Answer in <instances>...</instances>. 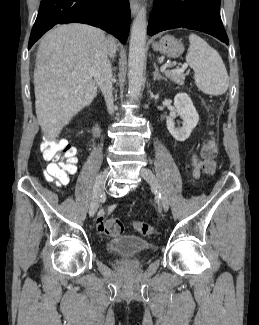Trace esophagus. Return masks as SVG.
I'll use <instances>...</instances> for the list:
<instances>
[{"label":"esophagus","mask_w":259,"mask_h":325,"mask_svg":"<svg viewBox=\"0 0 259 325\" xmlns=\"http://www.w3.org/2000/svg\"><path fill=\"white\" fill-rule=\"evenodd\" d=\"M130 9L132 16H135L139 10V5L137 0H130Z\"/></svg>","instance_id":"esophagus-1"}]
</instances>
